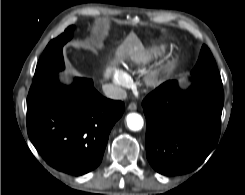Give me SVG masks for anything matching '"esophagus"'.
<instances>
[{
  "label": "esophagus",
  "instance_id": "34e87169",
  "mask_svg": "<svg viewBox=\"0 0 245 195\" xmlns=\"http://www.w3.org/2000/svg\"><path fill=\"white\" fill-rule=\"evenodd\" d=\"M137 109L136 103L132 102L128 105V110L135 111Z\"/></svg>",
  "mask_w": 245,
  "mask_h": 195
}]
</instances>
